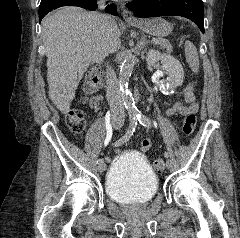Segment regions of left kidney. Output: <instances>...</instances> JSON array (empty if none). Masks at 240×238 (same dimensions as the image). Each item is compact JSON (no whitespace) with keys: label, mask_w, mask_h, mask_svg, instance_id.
<instances>
[{"label":"left kidney","mask_w":240,"mask_h":238,"mask_svg":"<svg viewBox=\"0 0 240 238\" xmlns=\"http://www.w3.org/2000/svg\"><path fill=\"white\" fill-rule=\"evenodd\" d=\"M149 66L161 61L162 69L166 71L168 77L166 81H158V85L163 94L168 95L176 87L181 86L184 79V71L181 63L170 54H162L158 50L151 49L146 57Z\"/></svg>","instance_id":"left-kidney-1"}]
</instances>
